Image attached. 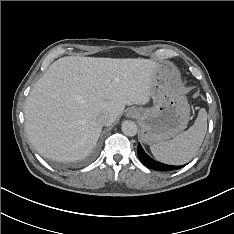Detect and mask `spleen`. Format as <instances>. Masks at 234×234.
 Masks as SVG:
<instances>
[{
	"label": "spleen",
	"instance_id": "3e777b00",
	"mask_svg": "<svg viewBox=\"0 0 234 234\" xmlns=\"http://www.w3.org/2000/svg\"><path fill=\"white\" fill-rule=\"evenodd\" d=\"M207 131V112L200 109L193 126L171 141L150 146L153 156L160 162L182 165L189 162L199 150Z\"/></svg>",
	"mask_w": 234,
	"mask_h": 234
}]
</instances>
